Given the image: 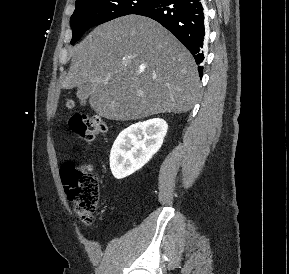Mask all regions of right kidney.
I'll return each mask as SVG.
<instances>
[{
  "label": "right kidney",
  "mask_w": 289,
  "mask_h": 274,
  "mask_svg": "<svg viewBox=\"0 0 289 274\" xmlns=\"http://www.w3.org/2000/svg\"><path fill=\"white\" fill-rule=\"evenodd\" d=\"M168 130L164 119L153 118L124 129L110 153V169L116 179L125 178L142 168L162 146Z\"/></svg>",
  "instance_id": "obj_1"
}]
</instances>
